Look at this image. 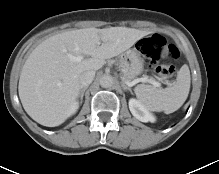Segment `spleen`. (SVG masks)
I'll list each match as a JSON object with an SVG mask.
<instances>
[{"mask_svg":"<svg viewBox=\"0 0 219 174\" xmlns=\"http://www.w3.org/2000/svg\"><path fill=\"white\" fill-rule=\"evenodd\" d=\"M190 90V71L183 65L177 73L176 82L167 88H156L152 85L139 84L134 92L138 100L149 110L175 112L186 101Z\"/></svg>","mask_w":219,"mask_h":174,"instance_id":"obj_1","label":"spleen"}]
</instances>
